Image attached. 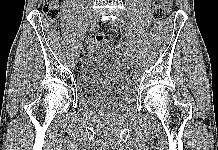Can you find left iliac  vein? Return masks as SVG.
Wrapping results in <instances>:
<instances>
[{
    "label": "left iliac vein",
    "mask_w": 218,
    "mask_h": 150,
    "mask_svg": "<svg viewBox=\"0 0 218 150\" xmlns=\"http://www.w3.org/2000/svg\"><path fill=\"white\" fill-rule=\"evenodd\" d=\"M112 25L115 26L118 29H124L125 28V21L122 17H118L117 19L113 20ZM130 66L133 65V63H129Z\"/></svg>",
    "instance_id": "left-iliac-vein-1"
}]
</instances>
